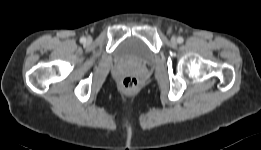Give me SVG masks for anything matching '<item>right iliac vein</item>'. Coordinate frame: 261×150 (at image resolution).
<instances>
[{
    "label": "right iliac vein",
    "instance_id": "63e3f726",
    "mask_svg": "<svg viewBox=\"0 0 261 150\" xmlns=\"http://www.w3.org/2000/svg\"><path fill=\"white\" fill-rule=\"evenodd\" d=\"M88 42H90L91 41V38H88V40H87Z\"/></svg>",
    "mask_w": 261,
    "mask_h": 150
}]
</instances>
